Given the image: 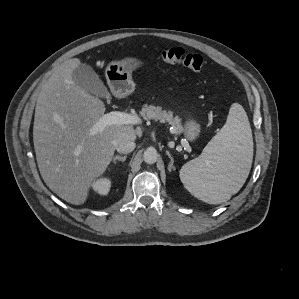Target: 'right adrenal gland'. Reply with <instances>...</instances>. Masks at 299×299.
<instances>
[{
  "label": "right adrenal gland",
  "instance_id": "right-adrenal-gland-1",
  "mask_svg": "<svg viewBox=\"0 0 299 299\" xmlns=\"http://www.w3.org/2000/svg\"><path fill=\"white\" fill-rule=\"evenodd\" d=\"M126 158H127L126 155L123 156V157L120 156V155H117V156H115V157L113 158V163L116 164L117 161L125 162V161H126Z\"/></svg>",
  "mask_w": 299,
  "mask_h": 299
}]
</instances>
